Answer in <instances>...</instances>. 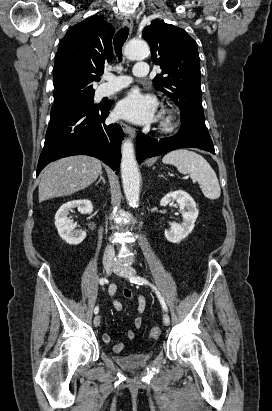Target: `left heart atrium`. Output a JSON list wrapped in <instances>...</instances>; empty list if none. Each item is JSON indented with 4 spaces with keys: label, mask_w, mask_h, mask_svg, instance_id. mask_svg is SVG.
Instances as JSON below:
<instances>
[{
    "label": "left heart atrium",
    "mask_w": 272,
    "mask_h": 411,
    "mask_svg": "<svg viewBox=\"0 0 272 411\" xmlns=\"http://www.w3.org/2000/svg\"><path fill=\"white\" fill-rule=\"evenodd\" d=\"M155 100L139 92H131L117 105L118 116L136 123H147L154 117Z\"/></svg>",
    "instance_id": "1"
}]
</instances>
